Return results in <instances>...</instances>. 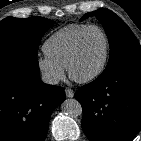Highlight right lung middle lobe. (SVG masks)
Segmentation results:
<instances>
[{
  "instance_id": "obj_1",
  "label": "right lung middle lobe",
  "mask_w": 141,
  "mask_h": 141,
  "mask_svg": "<svg viewBox=\"0 0 141 141\" xmlns=\"http://www.w3.org/2000/svg\"><path fill=\"white\" fill-rule=\"evenodd\" d=\"M52 26L53 21L42 17L3 19L0 22V60L14 57L36 60L40 40Z\"/></svg>"
}]
</instances>
